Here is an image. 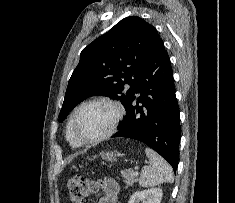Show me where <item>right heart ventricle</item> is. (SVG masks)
Wrapping results in <instances>:
<instances>
[{"mask_svg":"<svg viewBox=\"0 0 235 203\" xmlns=\"http://www.w3.org/2000/svg\"><path fill=\"white\" fill-rule=\"evenodd\" d=\"M71 118H72V116L70 117V119L68 121V124H67L66 138H67L68 142L72 146L79 147V146H81L82 143L77 140V138L75 137V135L72 132V129H71Z\"/></svg>","mask_w":235,"mask_h":203,"instance_id":"obj_1","label":"right heart ventricle"}]
</instances>
